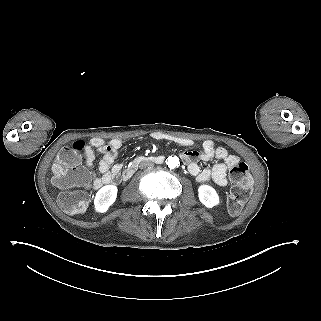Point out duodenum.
<instances>
[{"label": "duodenum", "mask_w": 321, "mask_h": 321, "mask_svg": "<svg viewBox=\"0 0 321 321\" xmlns=\"http://www.w3.org/2000/svg\"><path fill=\"white\" fill-rule=\"evenodd\" d=\"M164 158L162 156H139L135 158L123 171L122 178L128 180L137 170L138 166L143 162H152L156 164L163 163Z\"/></svg>", "instance_id": "410a0bca"}]
</instances>
